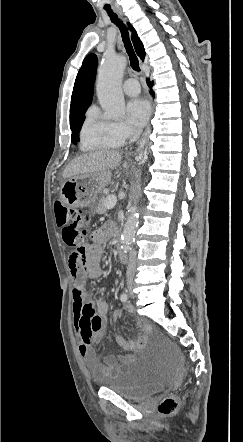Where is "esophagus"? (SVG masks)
Instances as JSON below:
<instances>
[{
    "instance_id": "1",
    "label": "esophagus",
    "mask_w": 243,
    "mask_h": 442,
    "mask_svg": "<svg viewBox=\"0 0 243 442\" xmlns=\"http://www.w3.org/2000/svg\"><path fill=\"white\" fill-rule=\"evenodd\" d=\"M149 133H150V126L147 127V129H146V131H145V133H144V135L138 145V148L136 150L138 157H141L142 154L147 151V141H148Z\"/></svg>"
}]
</instances>
